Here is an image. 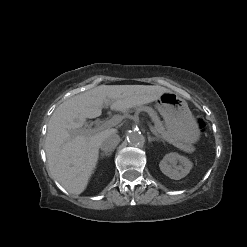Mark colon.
<instances>
[{
  "label": "colon",
  "instance_id": "5ec220e1",
  "mask_svg": "<svg viewBox=\"0 0 247 247\" xmlns=\"http://www.w3.org/2000/svg\"><path fill=\"white\" fill-rule=\"evenodd\" d=\"M199 125H200V128H201L202 130H204V123H203V122H200Z\"/></svg>",
  "mask_w": 247,
  "mask_h": 247
}]
</instances>
